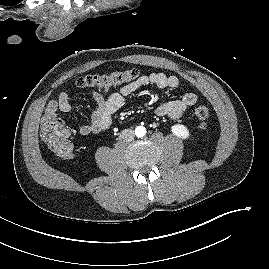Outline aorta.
<instances>
[{
  "label": "aorta",
  "mask_w": 269,
  "mask_h": 269,
  "mask_svg": "<svg viewBox=\"0 0 269 269\" xmlns=\"http://www.w3.org/2000/svg\"><path fill=\"white\" fill-rule=\"evenodd\" d=\"M135 134L137 137H143L146 134V128L143 126H138L135 128Z\"/></svg>",
  "instance_id": "762f6f07"
}]
</instances>
